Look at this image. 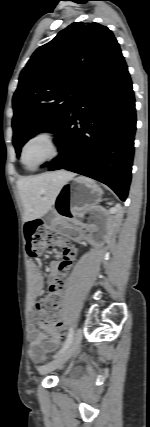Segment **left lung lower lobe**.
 Here are the masks:
<instances>
[{
	"instance_id": "obj_1",
	"label": "left lung lower lobe",
	"mask_w": 150,
	"mask_h": 427,
	"mask_svg": "<svg viewBox=\"0 0 150 427\" xmlns=\"http://www.w3.org/2000/svg\"><path fill=\"white\" fill-rule=\"evenodd\" d=\"M135 131L132 82L119 48L84 85L68 117L54 132L60 154L45 165L49 171L66 169L96 179L125 201Z\"/></svg>"
}]
</instances>
